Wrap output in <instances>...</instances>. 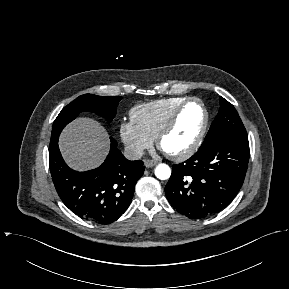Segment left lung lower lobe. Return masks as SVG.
Instances as JSON below:
<instances>
[{"instance_id": "0a47b994", "label": "left lung lower lobe", "mask_w": 289, "mask_h": 289, "mask_svg": "<svg viewBox=\"0 0 289 289\" xmlns=\"http://www.w3.org/2000/svg\"><path fill=\"white\" fill-rule=\"evenodd\" d=\"M249 161L248 137L221 133L203 142L188 160L172 166L165 186L170 204L200 219L220 212L239 192Z\"/></svg>"}]
</instances>
